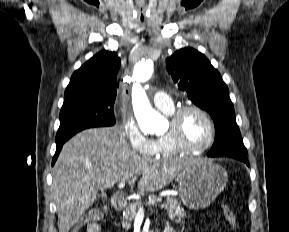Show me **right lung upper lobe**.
Masks as SVG:
<instances>
[{
  "label": "right lung upper lobe",
  "instance_id": "right-lung-upper-lobe-1",
  "mask_svg": "<svg viewBox=\"0 0 289 232\" xmlns=\"http://www.w3.org/2000/svg\"><path fill=\"white\" fill-rule=\"evenodd\" d=\"M120 63L115 52L104 50L97 53L73 73L65 90V101L91 96L116 98V77Z\"/></svg>",
  "mask_w": 289,
  "mask_h": 232
}]
</instances>
